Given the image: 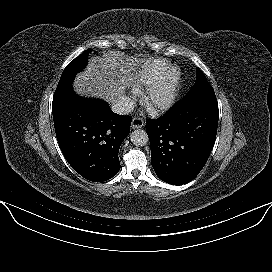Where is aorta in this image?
Listing matches in <instances>:
<instances>
[{"instance_id": "762f6f07", "label": "aorta", "mask_w": 272, "mask_h": 272, "mask_svg": "<svg viewBox=\"0 0 272 272\" xmlns=\"http://www.w3.org/2000/svg\"><path fill=\"white\" fill-rule=\"evenodd\" d=\"M130 140L135 146L142 147L148 143V135L146 131L137 129L131 133Z\"/></svg>"}]
</instances>
